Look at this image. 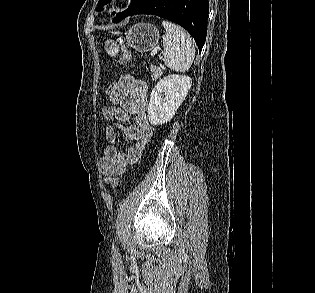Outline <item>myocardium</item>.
Segmentation results:
<instances>
[{
    "mask_svg": "<svg viewBox=\"0 0 315 293\" xmlns=\"http://www.w3.org/2000/svg\"><path fill=\"white\" fill-rule=\"evenodd\" d=\"M129 0H111V7L114 9H121L128 4Z\"/></svg>",
    "mask_w": 315,
    "mask_h": 293,
    "instance_id": "1",
    "label": "myocardium"
}]
</instances>
